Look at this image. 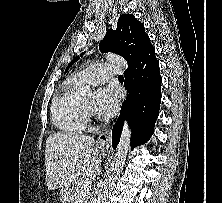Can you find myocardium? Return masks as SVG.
<instances>
[{"instance_id": "f54148a6", "label": "myocardium", "mask_w": 222, "mask_h": 203, "mask_svg": "<svg viewBox=\"0 0 222 203\" xmlns=\"http://www.w3.org/2000/svg\"><path fill=\"white\" fill-rule=\"evenodd\" d=\"M86 110L87 111H90L91 109H90V106H88L87 104H86Z\"/></svg>"}]
</instances>
